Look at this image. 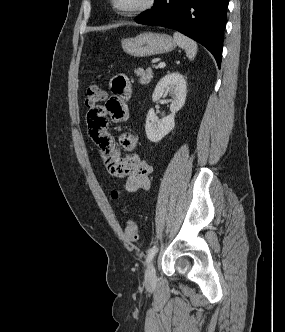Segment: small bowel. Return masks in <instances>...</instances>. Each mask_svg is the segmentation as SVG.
I'll return each instance as SVG.
<instances>
[{"instance_id": "c3829d8e", "label": "small bowel", "mask_w": 285, "mask_h": 332, "mask_svg": "<svg viewBox=\"0 0 285 332\" xmlns=\"http://www.w3.org/2000/svg\"><path fill=\"white\" fill-rule=\"evenodd\" d=\"M110 88L113 96L106 104L87 113L89 135L102 154L109 173L126 192L146 191L150 188L152 167L135 152L137 136L124 132L114 138L106 131L108 120L120 123L128 118L127 100L132 92L130 80L125 74H117L111 79Z\"/></svg>"}]
</instances>
